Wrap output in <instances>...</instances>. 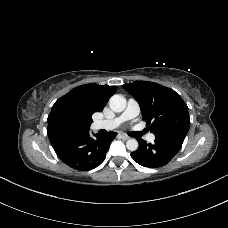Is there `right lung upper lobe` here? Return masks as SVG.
<instances>
[{"label": "right lung upper lobe", "mask_w": 228, "mask_h": 228, "mask_svg": "<svg viewBox=\"0 0 228 228\" xmlns=\"http://www.w3.org/2000/svg\"><path fill=\"white\" fill-rule=\"evenodd\" d=\"M116 86L85 84L59 98L48 116V137L65 133H87L92 114L101 112Z\"/></svg>", "instance_id": "1"}]
</instances>
